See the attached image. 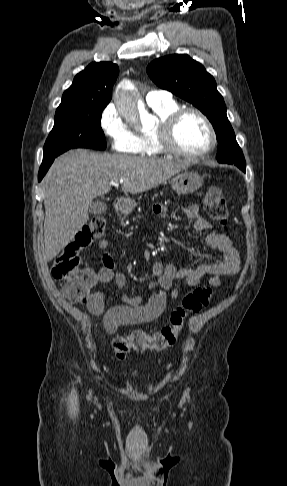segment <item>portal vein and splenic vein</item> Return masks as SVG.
I'll return each instance as SVG.
<instances>
[{
    "instance_id": "1",
    "label": "portal vein and splenic vein",
    "mask_w": 287,
    "mask_h": 486,
    "mask_svg": "<svg viewBox=\"0 0 287 486\" xmlns=\"http://www.w3.org/2000/svg\"><path fill=\"white\" fill-rule=\"evenodd\" d=\"M118 182L122 184L124 182V179H120V180L113 182V183H118Z\"/></svg>"
}]
</instances>
